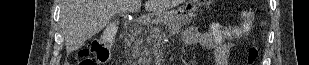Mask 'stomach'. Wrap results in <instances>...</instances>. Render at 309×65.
<instances>
[{
    "label": "stomach",
    "instance_id": "obj_1",
    "mask_svg": "<svg viewBox=\"0 0 309 65\" xmlns=\"http://www.w3.org/2000/svg\"><path fill=\"white\" fill-rule=\"evenodd\" d=\"M205 3L206 0L184 1V3L178 7L177 10L155 15L152 22L155 24L166 23L168 26L176 25L181 27L184 24L185 15L194 12L196 10V6L204 5Z\"/></svg>",
    "mask_w": 309,
    "mask_h": 65
}]
</instances>
